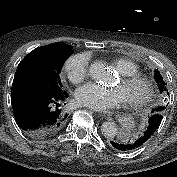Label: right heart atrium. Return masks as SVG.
I'll return each instance as SVG.
<instances>
[{
	"mask_svg": "<svg viewBox=\"0 0 177 177\" xmlns=\"http://www.w3.org/2000/svg\"><path fill=\"white\" fill-rule=\"evenodd\" d=\"M68 79L72 83L82 82L89 73V57L87 54L71 56L64 65Z\"/></svg>",
	"mask_w": 177,
	"mask_h": 177,
	"instance_id": "1",
	"label": "right heart atrium"
}]
</instances>
